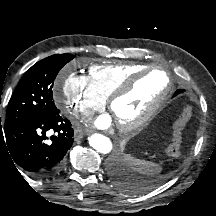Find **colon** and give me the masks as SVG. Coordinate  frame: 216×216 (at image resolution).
<instances>
[{"label": "colon", "instance_id": "5ec220e1", "mask_svg": "<svg viewBox=\"0 0 216 216\" xmlns=\"http://www.w3.org/2000/svg\"><path fill=\"white\" fill-rule=\"evenodd\" d=\"M192 116V109L189 105L181 108L179 115L173 125L171 142L166 150L170 157H177L182 148V132L187 122Z\"/></svg>", "mask_w": 216, "mask_h": 216}]
</instances>
